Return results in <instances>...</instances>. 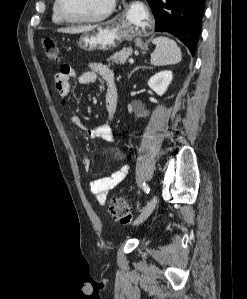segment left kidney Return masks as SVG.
<instances>
[{
  "instance_id": "left-kidney-1",
  "label": "left kidney",
  "mask_w": 247,
  "mask_h": 299,
  "mask_svg": "<svg viewBox=\"0 0 247 299\" xmlns=\"http://www.w3.org/2000/svg\"><path fill=\"white\" fill-rule=\"evenodd\" d=\"M172 78H173L172 71L169 70L161 71L149 79L148 85L156 93H158L159 95H163L168 89L172 81Z\"/></svg>"
}]
</instances>
